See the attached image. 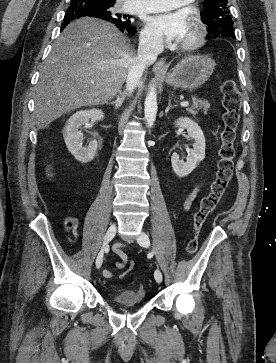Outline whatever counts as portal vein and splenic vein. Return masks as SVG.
<instances>
[{"label":"portal vein and splenic vein","mask_w":276,"mask_h":363,"mask_svg":"<svg viewBox=\"0 0 276 363\" xmlns=\"http://www.w3.org/2000/svg\"><path fill=\"white\" fill-rule=\"evenodd\" d=\"M182 107H187V106H189V102H187V101H184V102H181V104H180Z\"/></svg>","instance_id":"obj_1"}]
</instances>
